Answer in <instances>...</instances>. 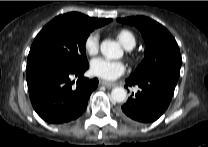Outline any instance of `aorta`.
I'll list each match as a JSON object with an SVG mask.
<instances>
[{"mask_svg":"<svg viewBox=\"0 0 208 147\" xmlns=\"http://www.w3.org/2000/svg\"><path fill=\"white\" fill-rule=\"evenodd\" d=\"M101 53L108 59H119L123 55L120 45L112 40H104L100 46ZM127 92L122 87H116L111 91V98L115 102H123L126 100Z\"/></svg>","mask_w":208,"mask_h":147,"instance_id":"aorta-1","label":"aorta"}]
</instances>
